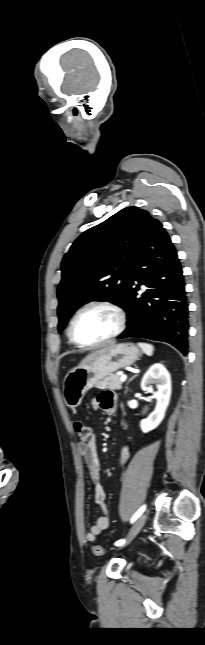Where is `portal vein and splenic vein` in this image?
Here are the masks:
<instances>
[{
	"label": "portal vein and splenic vein",
	"instance_id": "portal-vein-and-splenic-vein-1",
	"mask_svg": "<svg viewBox=\"0 0 205 645\" xmlns=\"http://www.w3.org/2000/svg\"><path fill=\"white\" fill-rule=\"evenodd\" d=\"M126 379H127V376H126V375H122V376L120 377V381H121V382H124Z\"/></svg>",
	"mask_w": 205,
	"mask_h": 645
}]
</instances>
